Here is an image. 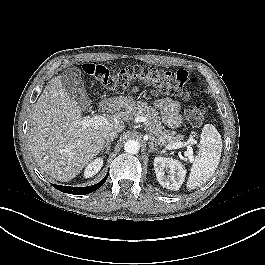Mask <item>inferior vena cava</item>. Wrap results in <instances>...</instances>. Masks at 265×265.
Masks as SVG:
<instances>
[{
	"mask_svg": "<svg viewBox=\"0 0 265 265\" xmlns=\"http://www.w3.org/2000/svg\"><path fill=\"white\" fill-rule=\"evenodd\" d=\"M118 137V134H117V132H115V131H109V132H105L104 134H103V138L105 139V140H113V139H115V138H117Z\"/></svg>",
	"mask_w": 265,
	"mask_h": 265,
	"instance_id": "obj_1",
	"label": "inferior vena cava"
}]
</instances>
